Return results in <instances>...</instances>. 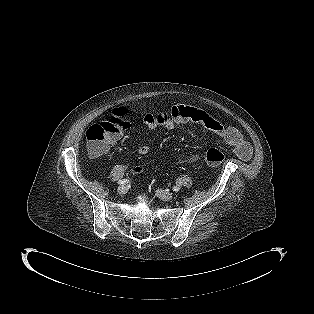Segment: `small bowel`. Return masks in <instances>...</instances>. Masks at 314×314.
Returning a JSON list of instances; mask_svg holds the SVG:
<instances>
[{"mask_svg": "<svg viewBox=\"0 0 314 314\" xmlns=\"http://www.w3.org/2000/svg\"><path fill=\"white\" fill-rule=\"evenodd\" d=\"M187 122L197 123L207 131L222 139L244 161H249L252 158L251 146L244 140L241 132L237 128L223 124L202 109L188 107L186 105H172L170 107L155 110L152 114H147L144 119V123L147 127L153 129L157 125H163L168 131L174 129L177 124ZM121 136L122 134L113 139L110 145L115 144ZM149 151L150 146L146 144L137 148V152L141 155H145L149 153ZM198 159V154H190L184 157L181 162L190 163L195 162ZM141 170L140 167L134 168L135 172H140Z\"/></svg>", "mask_w": 314, "mask_h": 314, "instance_id": "1", "label": "small bowel"}]
</instances>
